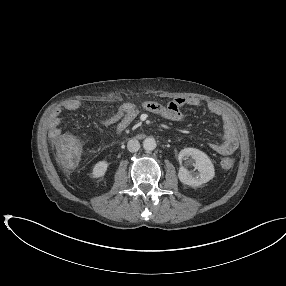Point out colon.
<instances>
[{
  "instance_id": "5ec220e1",
  "label": "colon",
  "mask_w": 286,
  "mask_h": 286,
  "mask_svg": "<svg viewBox=\"0 0 286 286\" xmlns=\"http://www.w3.org/2000/svg\"><path fill=\"white\" fill-rule=\"evenodd\" d=\"M57 157L60 163L66 168L74 167L81 155V145L79 141L70 135H57L53 138ZM222 167L230 169L233 166V159L222 160Z\"/></svg>"
}]
</instances>
